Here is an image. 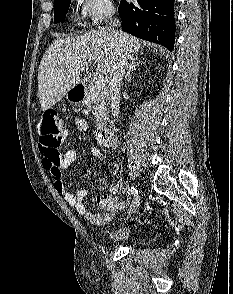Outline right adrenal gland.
Masks as SVG:
<instances>
[{
    "mask_svg": "<svg viewBox=\"0 0 233 294\" xmlns=\"http://www.w3.org/2000/svg\"><path fill=\"white\" fill-rule=\"evenodd\" d=\"M144 62L142 61H138V57H134L131 59L129 68L127 70V73L125 75V80L129 79L130 73L136 69L137 66H139L140 64H143Z\"/></svg>",
    "mask_w": 233,
    "mask_h": 294,
    "instance_id": "right-adrenal-gland-1",
    "label": "right adrenal gland"
}]
</instances>
